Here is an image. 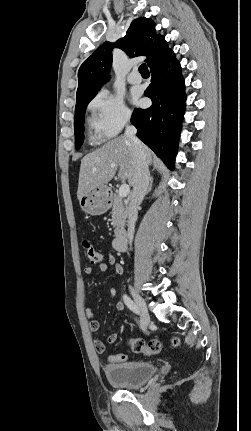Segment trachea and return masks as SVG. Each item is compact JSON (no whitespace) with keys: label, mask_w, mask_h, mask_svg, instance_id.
<instances>
[{"label":"trachea","mask_w":251,"mask_h":431,"mask_svg":"<svg viewBox=\"0 0 251 431\" xmlns=\"http://www.w3.org/2000/svg\"><path fill=\"white\" fill-rule=\"evenodd\" d=\"M139 72L141 73V74H149V70H148V67H147V65L144 63V64H141L140 66H139Z\"/></svg>","instance_id":"obj_1"}]
</instances>
